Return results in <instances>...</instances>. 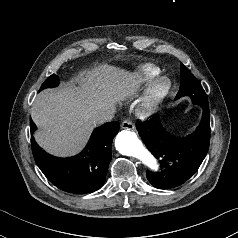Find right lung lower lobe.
<instances>
[{"label":"right lung lower lobe","mask_w":238,"mask_h":238,"mask_svg":"<svg viewBox=\"0 0 238 238\" xmlns=\"http://www.w3.org/2000/svg\"><path fill=\"white\" fill-rule=\"evenodd\" d=\"M36 128L31 120V134ZM118 131V122L95 128L84 150L70 158H58L46 153L31 136L33 156L40 170L57 188L73 194L91 193L105 182L112 140Z\"/></svg>","instance_id":"right-lung-lower-lobe-1"}]
</instances>
